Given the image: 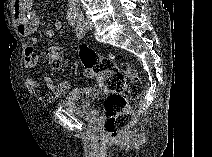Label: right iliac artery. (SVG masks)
<instances>
[{
    "label": "right iliac artery",
    "mask_w": 212,
    "mask_h": 157,
    "mask_svg": "<svg viewBox=\"0 0 212 157\" xmlns=\"http://www.w3.org/2000/svg\"><path fill=\"white\" fill-rule=\"evenodd\" d=\"M75 19H76V15H74V14L69 15L68 16L69 24L73 26L75 24Z\"/></svg>",
    "instance_id": "82829eb1"
}]
</instances>
